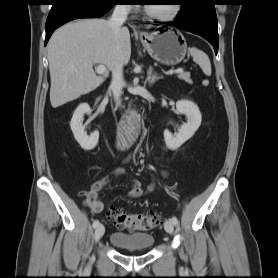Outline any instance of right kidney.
Returning a JSON list of instances; mask_svg holds the SVG:
<instances>
[{
    "label": "right kidney",
    "mask_w": 278,
    "mask_h": 278,
    "mask_svg": "<svg viewBox=\"0 0 278 278\" xmlns=\"http://www.w3.org/2000/svg\"><path fill=\"white\" fill-rule=\"evenodd\" d=\"M91 108L87 103L80 104L76 110L74 111V114L72 116L70 127L73 132L75 140L79 143L82 149L84 150H92L96 147L99 139V132L94 131L91 133L90 136H88L84 132V126L83 123V116L84 114H90Z\"/></svg>",
    "instance_id": "right-kidney-1"
}]
</instances>
